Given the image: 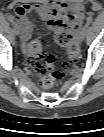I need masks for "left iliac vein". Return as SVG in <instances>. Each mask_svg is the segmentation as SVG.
Wrapping results in <instances>:
<instances>
[{
	"instance_id": "1",
	"label": "left iliac vein",
	"mask_w": 104,
	"mask_h": 137,
	"mask_svg": "<svg viewBox=\"0 0 104 137\" xmlns=\"http://www.w3.org/2000/svg\"><path fill=\"white\" fill-rule=\"evenodd\" d=\"M86 32H87V27L85 26V27L82 28V30H81V32L79 34V38L78 39H79L80 42L84 40Z\"/></svg>"
}]
</instances>
